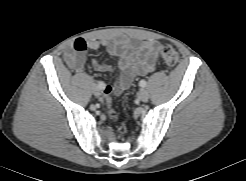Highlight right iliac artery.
Instances as JSON below:
<instances>
[{
	"label": "right iliac artery",
	"instance_id": "obj_1",
	"mask_svg": "<svg viewBox=\"0 0 246 181\" xmlns=\"http://www.w3.org/2000/svg\"><path fill=\"white\" fill-rule=\"evenodd\" d=\"M98 88H99V89H103V88H104V84L101 83L100 81L98 82Z\"/></svg>",
	"mask_w": 246,
	"mask_h": 181
}]
</instances>
